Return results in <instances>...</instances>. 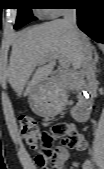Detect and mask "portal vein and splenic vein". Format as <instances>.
Wrapping results in <instances>:
<instances>
[{
    "mask_svg": "<svg viewBox=\"0 0 104 169\" xmlns=\"http://www.w3.org/2000/svg\"><path fill=\"white\" fill-rule=\"evenodd\" d=\"M53 58L58 59L61 66L64 68H68L70 66V62L62 55H55Z\"/></svg>",
    "mask_w": 104,
    "mask_h": 169,
    "instance_id": "obj_1",
    "label": "portal vein and splenic vein"
}]
</instances>
